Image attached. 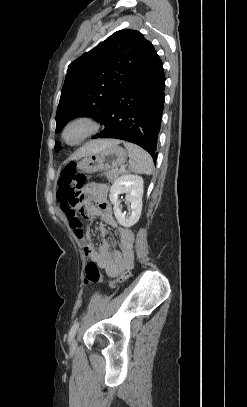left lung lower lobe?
I'll return each instance as SVG.
<instances>
[{"label":"left lung lower lobe","mask_w":247,"mask_h":407,"mask_svg":"<svg viewBox=\"0 0 247 407\" xmlns=\"http://www.w3.org/2000/svg\"><path fill=\"white\" fill-rule=\"evenodd\" d=\"M165 76L157 52L129 81L108 111L104 130L92 138H115L135 143L157 159V139L164 106Z\"/></svg>","instance_id":"0a47b994"}]
</instances>
